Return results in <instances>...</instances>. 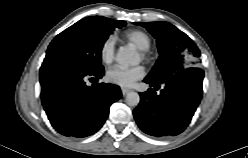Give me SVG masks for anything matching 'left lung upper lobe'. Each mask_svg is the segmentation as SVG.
<instances>
[{
	"mask_svg": "<svg viewBox=\"0 0 248 158\" xmlns=\"http://www.w3.org/2000/svg\"><path fill=\"white\" fill-rule=\"evenodd\" d=\"M157 40L160 57L147 78L162 83L173 74L189 66H196L200 50L185 33L174 25L159 22H141Z\"/></svg>",
	"mask_w": 248,
	"mask_h": 158,
	"instance_id": "1",
	"label": "left lung upper lobe"
}]
</instances>
